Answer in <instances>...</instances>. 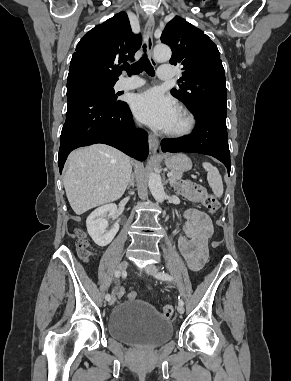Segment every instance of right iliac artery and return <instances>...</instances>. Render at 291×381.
<instances>
[{
	"instance_id": "obj_1",
	"label": "right iliac artery",
	"mask_w": 291,
	"mask_h": 381,
	"mask_svg": "<svg viewBox=\"0 0 291 381\" xmlns=\"http://www.w3.org/2000/svg\"><path fill=\"white\" fill-rule=\"evenodd\" d=\"M120 275H121V273H120L119 270L115 272V277H116V278L120 277ZM110 298H111L110 294H106L105 299H106L107 301H109Z\"/></svg>"
}]
</instances>
